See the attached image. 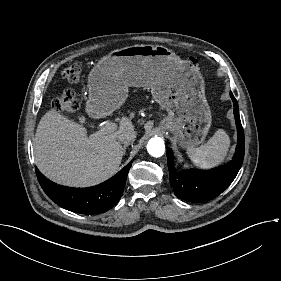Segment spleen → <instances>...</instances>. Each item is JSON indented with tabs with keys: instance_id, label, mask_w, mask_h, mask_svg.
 Masks as SVG:
<instances>
[{
	"instance_id": "spleen-1",
	"label": "spleen",
	"mask_w": 281,
	"mask_h": 281,
	"mask_svg": "<svg viewBox=\"0 0 281 281\" xmlns=\"http://www.w3.org/2000/svg\"><path fill=\"white\" fill-rule=\"evenodd\" d=\"M229 147V136L223 129H218L204 145L198 148H188L187 154L196 166L209 169L224 161Z\"/></svg>"
}]
</instances>
